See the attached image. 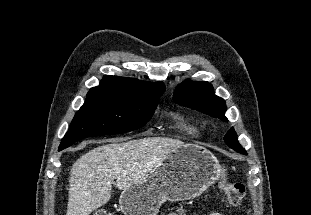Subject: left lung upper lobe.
Segmentation results:
<instances>
[{
	"instance_id": "left-lung-upper-lobe-1",
	"label": "left lung upper lobe",
	"mask_w": 311,
	"mask_h": 215,
	"mask_svg": "<svg viewBox=\"0 0 311 215\" xmlns=\"http://www.w3.org/2000/svg\"><path fill=\"white\" fill-rule=\"evenodd\" d=\"M173 100L179 105L228 121L224 115L226 111L225 101L214 94L213 87L208 82L184 81L176 88ZM224 141L235 151L247 154L238 143L237 135L233 128L224 136Z\"/></svg>"
}]
</instances>
